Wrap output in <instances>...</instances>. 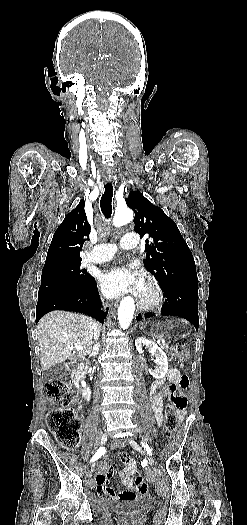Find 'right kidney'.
Returning a JSON list of instances; mask_svg holds the SVG:
<instances>
[{
	"instance_id": "obj_1",
	"label": "right kidney",
	"mask_w": 247,
	"mask_h": 525,
	"mask_svg": "<svg viewBox=\"0 0 247 525\" xmlns=\"http://www.w3.org/2000/svg\"><path fill=\"white\" fill-rule=\"evenodd\" d=\"M81 387H86L85 381H81Z\"/></svg>"
}]
</instances>
